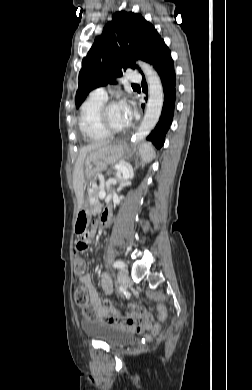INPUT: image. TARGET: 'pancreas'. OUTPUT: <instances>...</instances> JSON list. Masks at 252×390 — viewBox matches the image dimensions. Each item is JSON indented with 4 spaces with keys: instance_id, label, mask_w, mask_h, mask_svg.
Listing matches in <instances>:
<instances>
[{
    "instance_id": "obj_1",
    "label": "pancreas",
    "mask_w": 252,
    "mask_h": 390,
    "mask_svg": "<svg viewBox=\"0 0 252 390\" xmlns=\"http://www.w3.org/2000/svg\"><path fill=\"white\" fill-rule=\"evenodd\" d=\"M89 203L92 206V216L98 217L102 210V205L99 202H92L91 197H89Z\"/></svg>"
}]
</instances>
